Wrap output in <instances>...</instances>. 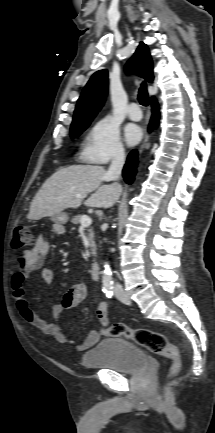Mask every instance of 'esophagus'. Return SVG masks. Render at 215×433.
I'll return each mask as SVG.
<instances>
[{"label":"esophagus","instance_id":"obj_1","mask_svg":"<svg viewBox=\"0 0 215 433\" xmlns=\"http://www.w3.org/2000/svg\"><path fill=\"white\" fill-rule=\"evenodd\" d=\"M148 139H149V137L146 136L145 139H144V142L142 143V145H141V147H140V149H139V152H140V153L143 151L144 147L146 146V144H147V142H148Z\"/></svg>","mask_w":215,"mask_h":433}]
</instances>
